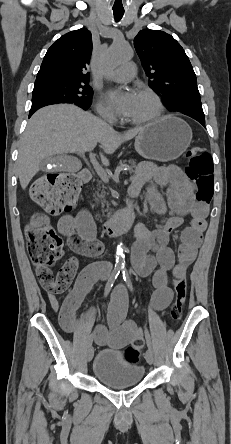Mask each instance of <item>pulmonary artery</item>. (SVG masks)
Wrapping results in <instances>:
<instances>
[{
  "mask_svg": "<svg viewBox=\"0 0 231 444\" xmlns=\"http://www.w3.org/2000/svg\"><path fill=\"white\" fill-rule=\"evenodd\" d=\"M136 75V68L133 63H124L114 70L109 78L116 82H128Z\"/></svg>",
  "mask_w": 231,
  "mask_h": 444,
  "instance_id": "1",
  "label": "pulmonary artery"
}]
</instances>
